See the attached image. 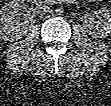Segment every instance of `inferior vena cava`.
Listing matches in <instances>:
<instances>
[{"instance_id": "1", "label": "inferior vena cava", "mask_w": 111, "mask_h": 106, "mask_svg": "<svg viewBox=\"0 0 111 106\" xmlns=\"http://www.w3.org/2000/svg\"><path fill=\"white\" fill-rule=\"evenodd\" d=\"M50 8L43 2H39V4L37 5V11L40 14H45L47 12H49Z\"/></svg>"}]
</instances>
